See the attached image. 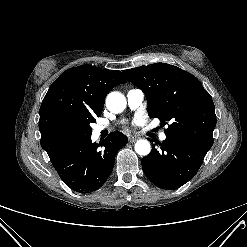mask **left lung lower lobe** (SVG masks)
I'll list each match as a JSON object with an SVG mask.
<instances>
[{
    "label": "left lung lower lobe",
    "mask_w": 247,
    "mask_h": 247,
    "mask_svg": "<svg viewBox=\"0 0 247 247\" xmlns=\"http://www.w3.org/2000/svg\"><path fill=\"white\" fill-rule=\"evenodd\" d=\"M159 145L160 149L153 145L141 163L146 177L166 190H175L191 180L210 149L186 138L169 136Z\"/></svg>",
    "instance_id": "0a47b994"
}]
</instances>
